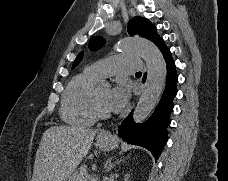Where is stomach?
<instances>
[{"label":"stomach","instance_id":"0dacf381","mask_svg":"<svg viewBox=\"0 0 228 181\" xmlns=\"http://www.w3.org/2000/svg\"><path fill=\"white\" fill-rule=\"evenodd\" d=\"M117 137H114V135H105L104 133H98L97 139H96V145L101 149V151H112V149H115L117 147Z\"/></svg>","mask_w":228,"mask_h":181}]
</instances>
